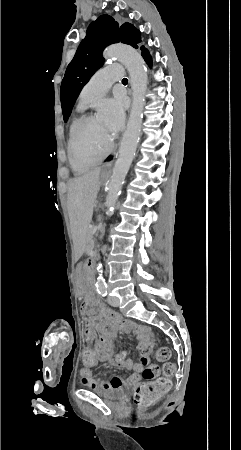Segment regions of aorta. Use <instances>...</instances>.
<instances>
[{"label": "aorta", "instance_id": "obj_1", "mask_svg": "<svg viewBox=\"0 0 241 450\" xmlns=\"http://www.w3.org/2000/svg\"><path fill=\"white\" fill-rule=\"evenodd\" d=\"M103 56L105 58H117L126 66L130 75L133 95L126 130L123 134L112 176L107 186L106 206L108 209L106 214L109 216L120 195L140 138L147 91V71L141 55L131 46L124 44L111 45L104 51ZM101 266L99 264L97 267L99 272H101ZM97 284L99 286L104 284L101 274L97 278Z\"/></svg>", "mask_w": 241, "mask_h": 450}]
</instances>
